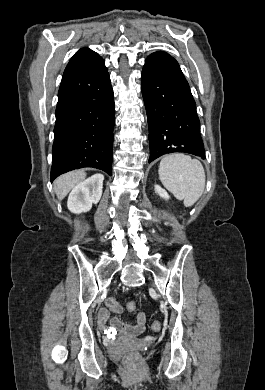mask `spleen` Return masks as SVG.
Wrapping results in <instances>:
<instances>
[{"label": "spleen", "instance_id": "obj_1", "mask_svg": "<svg viewBox=\"0 0 265 390\" xmlns=\"http://www.w3.org/2000/svg\"><path fill=\"white\" fill-rule=\"evenodd\" d=\"M162 184L186 207L192 206L205 188V171L200 161L184 154L164 157L159 166Z\"/></svg>", "mask_w": 265, "mask_h": 390}]
</instances>
